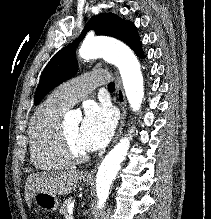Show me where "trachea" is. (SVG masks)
<instances>
[{
    "instance_id": "1",
    "label": "trachea",
    "mask_w": 211,
    "mask_h": 219,
    "mask_svg": "<svg viewBox=\"0 0 211 219\" xmlns=\"http://www.w3.org/2000/svg\"><path fill=\"white\" fill-rule=\"evenodd\" d=\"M108 89H109V90H114V89H115V84H114L113 82H110V83L108 84Z\"/></svg>"
}]
</instances>
